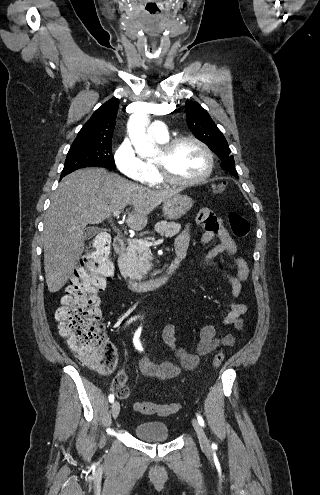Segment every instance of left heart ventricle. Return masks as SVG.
Listing matches in <instances>:
<instances>
[{
    "label": "left heart ventricle",
    "mask_w": 320,
    "mask_h": 495,
    "mask_svg": "<svg viewBox=\"0 0 320 495\" xmlns=\"http://www.w3.org/2000/svg\"><path fill=\"white\" fill-rule=\"evenodd\" d=\"M161 158V152L156 160ZM168 166L173 175L182 179H193L201 176L207 169V159L203 151L193 142L179 144L170 157Z\"/></svg>",
    "instance_id": "1"
}]
</instances>
